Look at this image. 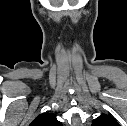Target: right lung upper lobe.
Masks as SVG:
<instances>
[{
    "mask_svg": "<svg viewBox=\"0 0 127 126\" xmlns=\"http://www.w3.org/2000/svg\"><path fill=\"white\" fill-rule=\"evenodd\" d=\"M30 126H62V123L56 119L55 114L46 112L38 115Z\"/></svg>",
    "mask_w": 127,
    "mask_h": 126,
    "instance_id": "1",
    "label": "right lung upper lobe"
}]
</instances>
